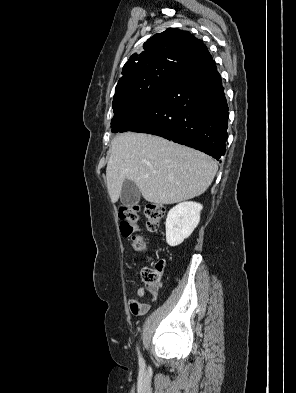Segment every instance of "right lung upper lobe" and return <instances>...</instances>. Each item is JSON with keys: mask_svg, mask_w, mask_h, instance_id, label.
<instances>
[{"mask_svg": "<svg viewBox=\"0 0 296 393\" xmlns=\"http://www.w3.org/2000/svg\"><path fill=\"white\" fill-rule=\"evenodd\" d=\"M208 53L204 43L190 32L168 28L155 34L144 43L143 50L132 55L124 65L113 103L137 96L154 78H173Z\"/></svg>", "mask_w": 296, "mask_h": 393, "instance_id": "right-lung-upper-lobe-1", "label": "right lung upper lobe"}]
</instances>
